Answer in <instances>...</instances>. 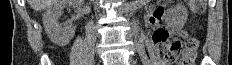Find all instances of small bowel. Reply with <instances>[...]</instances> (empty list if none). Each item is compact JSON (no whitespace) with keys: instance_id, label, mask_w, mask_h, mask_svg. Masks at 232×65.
<instances>
[{"instance_id":"obj_1","label":"small bowel","mask_w":232,"mask_h":65,"mask_svg":"<svg viewBox=\"0 0 232 65\" xmlns=\"http://www.w3.org/2000/svg\"><path fill=\"white\" fill-rule=\"evenodd\" d=\"M147 23L152 29L153 42L159 45L162 39H157L156 36L160 35L167 38L171 32L163 24L162 12L160 10H152L147 17Z\"/></svg>"}]
</instances>
